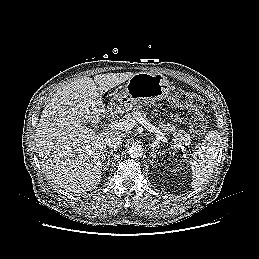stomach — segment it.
I'll return each mask as SVG.
<instances>
[{
  "mask_svg": "<svg viewBox=\"0 0 259 259\" xmlns=\"http://www.w3.org/2000/svg\"><path fill=\"white\" fill-rule=\"evenodd\" d=\"M170 89L167 77L140 72L128 80L124 90L113 97L110 105L118 111L135 110L166 99Z\"/></svg>",
  "mask_w": 259,
  "mask_h": 259,
  "instance_id": "obj_1",
  "label": "stomach"
}]
</instances>
